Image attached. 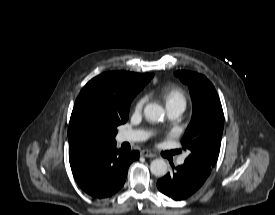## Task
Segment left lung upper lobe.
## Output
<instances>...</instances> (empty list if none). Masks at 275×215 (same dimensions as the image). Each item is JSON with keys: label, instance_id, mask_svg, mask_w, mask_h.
Returning a JSON list of instances; mask_svg holds the SVG:
<instances>
[{"label": "left lung upper lobe", "instance_id": "5c2ea615", "mask_svg": "<svg viewBox=\"0 0 275 215\" xmlns=\"http://www.w3.org/2000/svg\"><path fill=\"white\" fill-rule=\"evenodd\" d=\"M175 75L189 86L193 103L192 120L181 141L189 152L185 163L210 175L219 156L223 133L221 102L205 76L189 71H177Z\"/></svg>", "mask_w": 275, "mask_h": 215}]
</instances>
